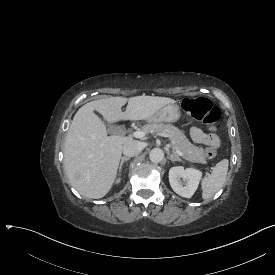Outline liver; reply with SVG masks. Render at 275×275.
Returning <instances> with one entry per match:
<instances>
[{"mask_svg":"<svg viewBox=\"0 0 275 275\" xmlns=\"http://www.w3.org/2000/svg\"><path fill=\"white\" fill-rule=\"evenodd\" d=\"M124 112L121 108L126 103ZM175 100L166 97H111L83 105L69 127L64 148V167L72 186L83 196L104 197L117 175L124 136H107L104 122L94 113L102 114L109 123L120 120H147L161 107Z\"/></svg>","mask_w":275,"mask_h":275,"instance_id":"6515ba94","label":"liver"}]
</instances>
